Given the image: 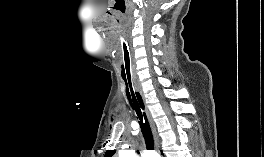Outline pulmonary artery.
Segmentation results:
<instances>
[{"label":"pulmonary artery","mask_w":264,"mask_h":157,"mask_svg":"<svg viewBox=\"0 0 264 157\" xmlns=\"http://www.w3.org/2000/svg\"><path fill=\"white\" fill-rule=\"evenodd\" d=\"M151 154H153V153H150V152H148V151H145L142 157L151 156Z\"/></svg>","instance_id":"e3ab8cb5"}]
</instances>
